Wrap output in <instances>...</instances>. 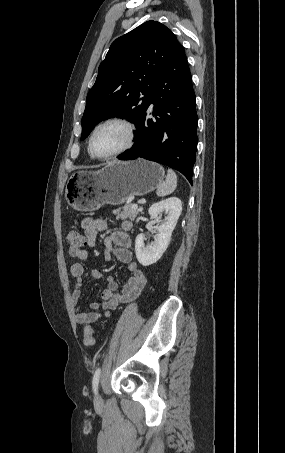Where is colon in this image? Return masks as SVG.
I'll list each match as a JSON object with an SVG mask.
<instances>
[{
  "mask_svg": "<svg viewBox=\"0 0 285 453\" xmlns=\"http://www.w3.org/2000/svg\"><path fill=\"white\" fill-rule=\"evenodd\" d=\"M66 241L69 246V253L76 257L86 245L85 237L77 230L70 231L66 236ZM83 342L85 346H93L95 343V332L90 326H86L83 331Z\"/></svg>",
  "mask_w": 285,
  "mask_h": 453,
  "instance_id": "1",
  "label": "colon"
}]
</instances>
